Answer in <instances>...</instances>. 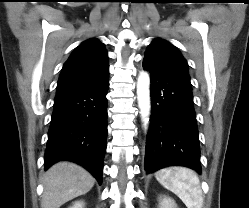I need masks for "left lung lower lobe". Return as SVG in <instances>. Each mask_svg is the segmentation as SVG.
Instances as JSON below:
<instances>
[{
	"mask_svg": "<svg viewBox=\"0 0 249 208\" xmlns=\"http://www.w3.org/2000/svg\"><path fill=\"white\" fill-rule=\"evenodd\" d=\"M151 116L145 148L147 174L168 166H185L201 173L199 134L190 79L147 60Z\"/></svg>",
	"mask_w": 249,
	"mask_h": 208,
	"instance_id": "1",
	"label": "left lung lower lobe"
}]
</instances>
